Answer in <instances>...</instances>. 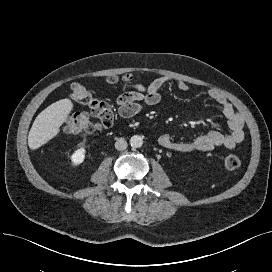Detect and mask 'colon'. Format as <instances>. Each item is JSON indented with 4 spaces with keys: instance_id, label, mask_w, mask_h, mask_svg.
<instances>
[{
    "instance_id": "colon-1",
    "label": "colon",
    "mask_w": 272,
    "mask_h": 272,
    "mask_svg": "<svg viewBox=\"0 0 272 272\" xmlns=\"http://www.w3.org/2000/svg\"><path fill=\"white\" fill-rule=\"evenodd\" d=\"M124 81L127 84L133 82L132 75L122 77L110 76L109 83ZM70 99L74 103L84 105L88 112L70 115L65 121V131L69 134L90 133L101 128H109L114 122V110L106 101L93 96L92 90L84 84L71 85ZM224 165L228 170H236L241 166V160L237 155L229 154L224 158Z\"/></svg>"
}]
</instances>
